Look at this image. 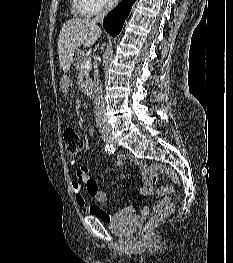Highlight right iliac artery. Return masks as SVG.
<instances>
[{"mask_svg":"<svg viewBox=\"0 0 233 263\" xmlns=\"http://www.w3.org/2000/svg\"><path fill=\"white\" fill-rule=\"evenodd\" d=\"M105 151L109 154H113L115 152V148L111 144H106Z\"/></svg>","mask_w":233,"mask_h":263,"instance_id":"obj_1","label":"right iliac artery"}]
</instances>
